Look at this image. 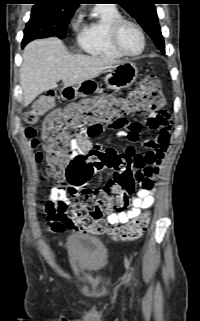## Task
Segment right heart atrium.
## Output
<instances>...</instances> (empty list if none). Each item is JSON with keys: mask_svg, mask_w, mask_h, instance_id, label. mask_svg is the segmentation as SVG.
<instances>
[{"mask_svg": "<svg viewBox=\"0 0 200 321\" xmlns=\"http://www.w3.org/2000/svg\"><path fill=\"white\" fill-rule=\"evenodd\" d=\"M79 23H80V18H79V17H76V18L73 20V25H74V26H77Z\"/></svg>", "mask_w": 200, "mask_h": 321, "instance_id": "obj_1", "label": "right heart atrium"}]
</instances>
